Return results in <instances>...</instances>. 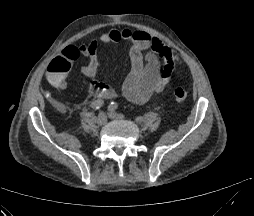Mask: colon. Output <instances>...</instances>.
<instances>
[{
    "mask_svg": "<svg viewBox=\"0 0 254 216\" xmlns=\"http://www.w3.org/2000/svg\"><path fill=\"white\" fill-rule=\"evenodd\" d=\"M71 63H63L61 57L54 59L48 66V76L51 80H58L59 77L66 73ZM174 98L178 103H182L187 98V92L185 89L178 87L174 90Z\"/></svg>",
    "mask_w": 254,
    "mask_h": 216,
    "instance_id": "1",
    "label": "colon"
}]
</instances>
